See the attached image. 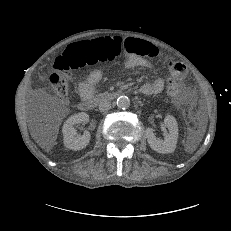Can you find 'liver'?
<instances>
[{
	"label": "liver",
	"mask_w": 231,
	"mask_h": 231,
	"mask_svg": "<svg viewBox=\"0 0 231 231\" xmlns=\"http://www.w3.org/2000/svg\"><path fill=\"white\" fill-rule=\"evenodd\" d=\"M53 143H54L53 139H51L50 141H45V142L41 141V142H39L40 146L42 148L46 149V150H49L52 147Z\"/></svg>",
	"instance_id": "6515ba94"
}]
</instances>
